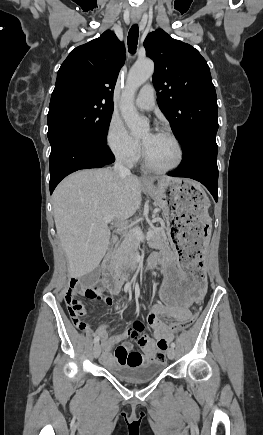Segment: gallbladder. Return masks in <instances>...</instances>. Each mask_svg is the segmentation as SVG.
<instances>
[{"label": "gallbladder", "mask_w": 263, "mask_h": 435, "mask_svg": "<svg viewBox=\"0 0 263 435\" xmlns=\"http://www.w3.org/2000/svg\"><path fill=\"white\" fill-rule=\"evenodd\" d=\"M100 267L95 268L90 273L86 274L82 277L81 281L85 286H91L94 285L100 277Z\"/></svg>", "instance_id": "bac80fb5"}]
</instances>
